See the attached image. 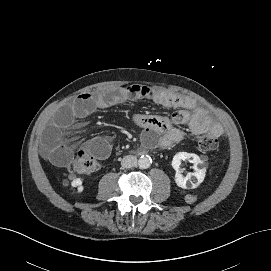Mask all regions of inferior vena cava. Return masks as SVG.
Instances as JSON below:
<instances>
[{"mask_svg":"<svg viewBox=\"0 0 271 271\" xmlns=\"http://www.w3.org/2000/svg\"><path fill=\"white\" fill-rule=\"evenodd\" d=\"M137 165V158L133 155L124 156L121 161V166L123 168H132Z\"/></svg>","mask_w":271,"mask_h":271,"instance_id":"inferior-vena-cava-1","label":"inferior vena cava"}]
</instances>
